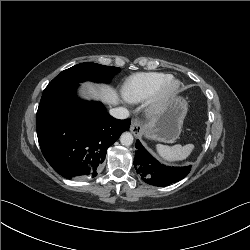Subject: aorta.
<instances>
[{
  "label": "aorta",
  "instance_id": "762f6f07",
  "mask_svg": "<svg viewBox=\"0 0 250 250\" xmlns=\"http://www.w3.org/2000/svg\"><path fill=\"white\" fill-rule=\"evenodd\" d=\"M120 142L124 146H130L133 143V136L129 132H124L120 137Z\"/></svg>",
  "mask_w": 250,
  "mask_h": 250
}]
</instances>
